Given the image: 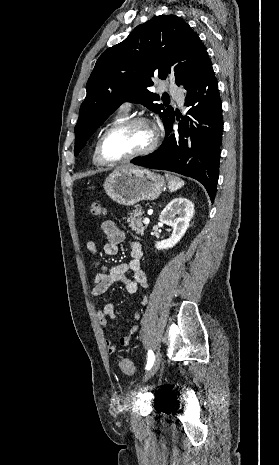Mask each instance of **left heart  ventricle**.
Instances as JSON below:
<instances>
[{
  "instance_id": "1",
  "label": "left heart ventricle",
  "mask_w": 279,
  "mask_h": 465,
  "mask_svg": "<svg viewBox=\"0 0 279 465\" xmlns=\"http://www.w3.org/2000/svg\"><path fill=\"white\" fill-rule=\"evenodd\" d=\"M151 129L143 124H134L112 132L103 147L109 159H119L144 149L151 141Z\"/></svg>"
}]
</instances>
